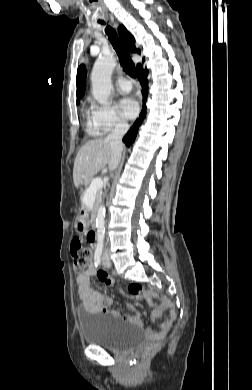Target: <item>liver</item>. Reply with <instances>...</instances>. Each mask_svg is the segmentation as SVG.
Here are the masks:
<instances>
[{
	"label": "liver",
	"instance_id": "6515ba94",
	"mask_svg": "<svg viewBox=\"0 0 252 390\" xmlns=\"http://www.w3.org/2000/svg\"><path fill=\"white\" fill-rule=\"evenodd\" d=\"M111 160L108 138L87 142L79 150L74 161L73 181L76 187L88 184L92 177Z\"/></svg>",
	"mask_w": 252,
	"mask_h": 390
}]
</instances>
